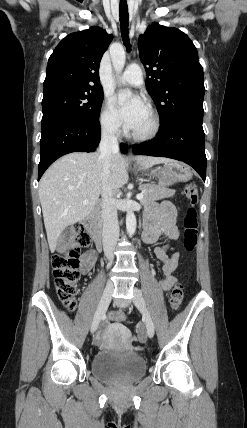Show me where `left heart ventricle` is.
Returning a JSON list of instances; mask_svg holds the SVG:
<instances>
[{
	"label": "left heart ventricle",
	"mask_w": 247,
	"mask_h": 428,
	"mask_svg": "<svg viewBox=\"0 0 247 428\" xmlns=\"http://www.w3.org/2000/svg\"><path fill=\"white\" fill-rule=\"evenodd\" d=\"M152 126V119L149 111L147 110L139 123L132 129L133 132L138 134L147 133Z\"/></svg>",
	"instance_id": "b2bd125f"
}]
</instances>
